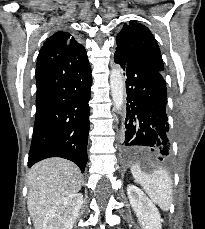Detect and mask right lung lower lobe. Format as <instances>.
Returning a JSON list of instances; mask_svg holds the SVG:
<instances>
[{
	"mask_svg": "<svg viewBox=\"0 0 205 229\" xmlns=\"http://www.w3.org/2000/svg\"><path fill=\"white\" fill-rule=\"evenodd\" d=\"M37 110L28 167L48 157H62L84 172L87 163L90 64L69 69L60 59L36 68Z\"/></svg>",
	"mask_w": 205,
	"mask_h": 229,
	"instance_id": "98d812e1",
	"label": "right lung lower lobe"
}]
</instances>
